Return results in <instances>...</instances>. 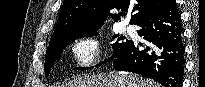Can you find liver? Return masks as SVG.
I'll use <instances>...</instances> for the list:
<instances>
[{"label": "liver", "instance_id": "liver-1", "mask_svg": "<svg viewBox=\"0 0 205 87\" xmlns=\"http://www.w3.org/2000/svg\"><path fill=\"white\" fill-rule=\"evenodd\" d=\"M58 87H159L158 84L133 74H98L75 78Z\"/></svg>", "mask_w": 205, "mask_h": 87}]
</instances>
